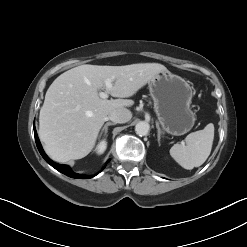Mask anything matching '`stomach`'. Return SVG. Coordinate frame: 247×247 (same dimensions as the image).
<instances>
[{"label":"stomach","instance_id":"0dacf381","mask_svg":"<svg viewBox=\"0 0 247 247\" xmlns=\"http://www.w3.org/2000/svg\"><path fill=\"white\" fill-rule=\"evenodd\" d=\"M149 89L163 130L175 136L189 132L196 118L190 107L192 89L188 82L167 70L151 80Z\"/></svg>","mask_w":247,"mask_h":247}]
</instances>
